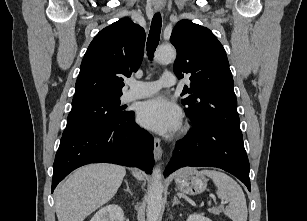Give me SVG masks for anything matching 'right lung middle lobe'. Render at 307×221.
Wrapping results in <instances>:
<instances>
[{
    "label": "right lung middle lobe",
    "mask_w": 307,
    "mask_h": 221,
    "mask_svg": "<svg viewBox=\"0 0 307 221\" xmlns=\"http://www.w3.org/2000/svg\"><path fill=\"white\" fill-rule=\"evenodd\" d=\"M127 115L120 107V97L72 103L63 135L98 126Z\"/></svg>",
    "instance_id": "right-lung-middle-lobe-1"
}]
</instances>
